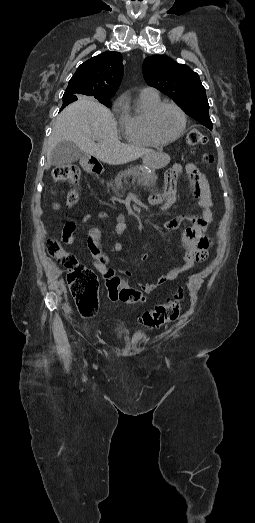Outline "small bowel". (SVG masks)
I'll use <instances>...</instances> for the list:
<instances>
[{
    "label": "small bowel",
    "instance_id": "1",
    "mask_svg": "<svg viewBox=\"0 0 255 523\" xmlns=\"http://www.w3.org/2000/svg\"><path fill=\"white\" fill-rule=\"evenodd\" d=\"M185 172L191 185L193 187L194 196L197 199V204L201 209L199 215L178 216L165 222L164 228L169 231L178 229L184 221H188L191 225L183 230L182 244L185 248L183 262L170 270L163 273L156 281L151 283H141L139 288L144 293H152L160 286L167 282L175 280L186 270L192 268L197 261L204 260L208 255V249L211 244L210 238L207 236V227L213 221V201L209 183L205 175L196 167V165L189 163L185 166ZM174 198L172 189L167 197L162 195H155L151 198V204L158 206L165 201V205L171 203ZM100 219L107 218V214L101 212L98 214ZM92 220L91 214H86L83 217V222L88 223ZM127 228L125 215L117 217V224L114 228L115 234L121 236ZM62 241L66 244H72L75 241V223L69 221L65 224L62 231ZM101 232L99 228L94 227L89 231L88 247L92 255L93 265L95 269L104 278H109L115 274V271L109 268V258L103 252L100 246ZM124 245L121 241L114 243L116 251H122ZM142 260L148 259V254L144 253ZM121 274L130 277L131 273L127 270H121Z\"/></svg>",
    "mask_w": 255,
    "mask_h": 523
}]
</instances>
